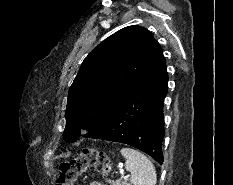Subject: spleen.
<instances>
[{
	"label": "spleen",
	"mask_w": 233,
	"mask_h": 185,
	"mask_svg": "<svg viewBox=\"0 0 233 185\" xmlns=\"http://www.w3.org/2000/svg\"><path fill=\"white\" fill-rule=\"evenodd\" d=\"M120 153L126 159L125 168L131 172L133 185H156V170L147 156L132 148H122Z\"/></svg>",
	"instance_id": "3e777b00"
}]
</instances>
